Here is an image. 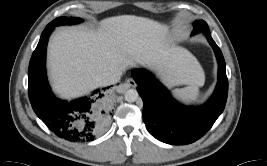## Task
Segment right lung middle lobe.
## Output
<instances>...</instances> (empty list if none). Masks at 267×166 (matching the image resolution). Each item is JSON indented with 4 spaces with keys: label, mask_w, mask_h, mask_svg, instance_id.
I'll list each match as a JSON object with an SVG mask.
<instances>
[{
    "label": "right lung middle lobe",
    "mask_w": 267,
    "mask_h": 166,
    "mask_svg": "<svg viewBox=\"0 0 267 166\" xmlns=\"http://www.w3.org/2000/svg\"><path fill=\"white\" fill-rule=\"evenodd\" d=\"M81 22V19L79 18H74V17H59L53 20L51 25L53 26H59V25H64V24H76Z\"/></svg>",
    "instance_id": "obj_1"
}]
</instances>
